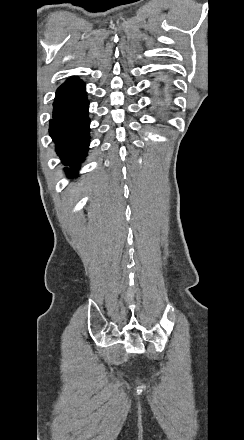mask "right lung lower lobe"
<instances>
[{
    "instance_id": "right-lung-lower-lobe-1",
    "label": "right lung lower lobe",
    "mask_w": 244,
    "mask_h": 440,
    "mask_svg": "<svg viewBox=\"0 0 244 440\" xmlns=\"http://www.w3.org/2000/svg\"><path fill=\"white\" fill-rule=\"evenodd\" d=\"M50 135L56 143V151L65 165L79 166L89 146L88 100L85 85L78 78H71L61 85L54 101Z\"/></svg>"
}]
</instances>
